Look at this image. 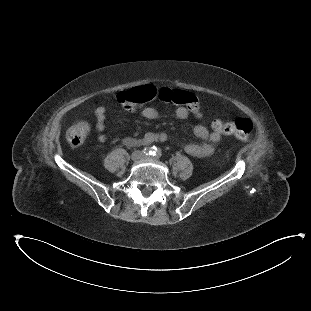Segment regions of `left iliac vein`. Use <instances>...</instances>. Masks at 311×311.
Here are the masks:
<instances>
[{
  "mask_svg": "<svg viewBox=\"0 0 311 311\" xmlns=\"http://www.w3.org/2000/svg\"><path fill=\"white\" fill-rule=\"evenodd\" d=\"M152 158H153V157L147 156V155H146V156H143V159H146V160H147V159H152Z\"/></svg>",
  "mask_w": 311,
  "mask_h": 311,
  "instance_id": "left-iliac-vein-1",
  "label": "left iliac vein"
}]
</instances>
